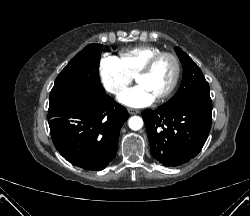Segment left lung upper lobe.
<instances>
[{"label":"left lung upper lobe","mask_w":250,"mask_h":216,"mask_svg":"<svg viewBox=\"0 0 250 216\" xmlns=\"http://www.w3.org/2000/svg\"><path fill=\"white\" fill-rule=\"evenodd\" d=\"M175 51L183 66V79L178 92L164 106L172 107L191 101L212 104L209 85L200 68L179 47H175Z\"/></svg>","instance_id":"5c2ea615"}]
</instances>
